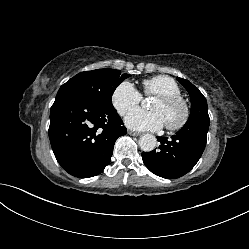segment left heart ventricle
I'll use <instances>...</instances> for the list:
<instances>
[{"label":"left heart ventricle","mask_w":249,"mask_h":249,"mask_svg":"<svg viewBox=\"0 0 249 249\" xmlns=\"http://www.w3.org/2000/svg\"><path fill=\"white\" fill-rule=\"evenodd\" d=\"M150 108L157 111L163 117L165 123H176L182 116V109L178 105H166L155 99Z\"/></svg>","instance_id":"left-heart-ventricle-1"}]
</instances>
